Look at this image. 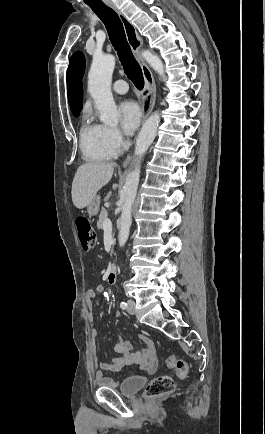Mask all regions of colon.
Masks as SVG:
<instances>
[{
  "instance_id": "obj_1",
  "label": "colon",
  "mask_w": 265,
  "mask_h": 434,
  "mask_svg": "<svg viewBox=\"0 0 265 434\" xmlns=\"http://www.w3.org/2000/svg\"><path fill=\"white\" fill-rule=\"evenodd\" d=\"M75 227L81 248L84 251L91 250L97 243V233L92 226L90 218L84 216L75 220ZM167 367L176 372L178 378H185L188 373L186 363L172 355L167 360ZM175 388L174 378L170 375H157L146 388L147 396L160 395L173 392Z\"/></svg>"
}]
</instances>
